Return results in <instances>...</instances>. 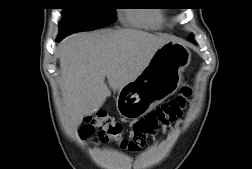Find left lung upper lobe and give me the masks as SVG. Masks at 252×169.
Instances as JSON below:
<instances>
[{"label": "left lung upper lobe", "instance_id": "left-lung-upper-lobe-1", "mask_svg": "<svg viewBox=\"0 0 252 169\" xmlns=\"http://www.w3.org/2000/svg\"><path fill=\"white\" fill-rule=\"evenodd\" d=\"M189 39H192V36H189Z\"/></svg>", "mask_w": 252, "mask_h": 169}]
</instances>
